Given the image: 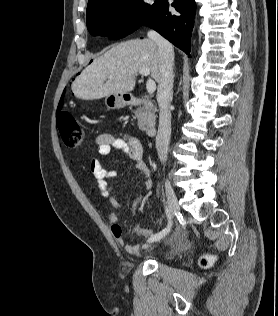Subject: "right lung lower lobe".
<instances>
[{
  "label": "right lung lower lobe",
  "mask_w": 278,
  "mask_h": 316,
  "mask_svg": "<svg viewBox=\"0 0 278 316\" xmlns=\"http://www.w3.org/2000/svg\"><path fill=\"white\" fill-rule=\"evenodd\" d=\"M171 6L179 13L169 12L167 0L157 1L153 13L143 25L150 26L190 56V37L196 10L195 0H174Z\"/></svg>",
  "instance_id": "right-lung-lower-lobe-1"
}]
</instances>
